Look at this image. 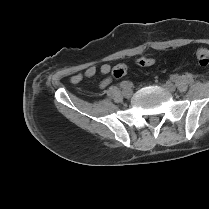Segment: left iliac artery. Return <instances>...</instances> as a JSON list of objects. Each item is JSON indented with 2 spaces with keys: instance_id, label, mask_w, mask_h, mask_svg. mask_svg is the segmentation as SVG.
Instances as JSON below:
<instances>
[{
  "instance_id": "1",
  "label": "left iliac artery",
  "mask_w": 209,
  "mask_h": 209,
  "mask_svg": "<svg viewBox=\"0 0 209 209\" xmlns=\"http://www.w3.org/2000/svg\"><path fill=\"white\" fill-rule=\"evenodd\" d=\"M170 79H171V82L172 83H178L179 82V76L178 75H172L171 77H170Z\"/></svg>"
}]
</instances>
